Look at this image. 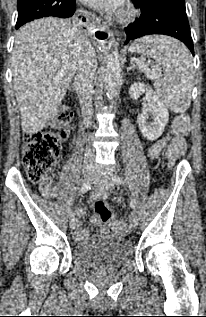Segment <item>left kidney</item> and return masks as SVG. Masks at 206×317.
<instances>
[{
	"label": "left kidney",
	"instance_id": "1",
	"mask_svg": "<svg viewBox=\"0 0 206 317\" xmlns=\"http://www.w3.org/2000/svg\"><path fill=\"white\" fill-rule=\"evenodd\" d=\"M144 93L148 102L147 113L138 115L137 123L143 136L149 141H154L164 132V128L168 123L169 113L156 93L144 83H133L129 88V94L132 99H138ZM148 115L153 116V122H147Z\"/></svg>",
	"mask_w": 206,
	"mask_h": 317
}]
</instances>
